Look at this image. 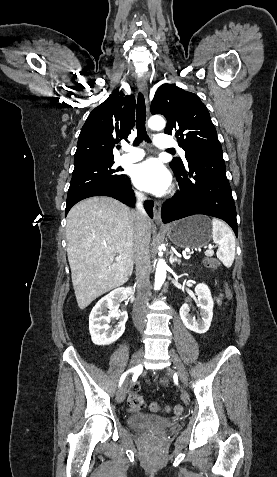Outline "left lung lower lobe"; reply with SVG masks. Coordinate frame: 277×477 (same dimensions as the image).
I'll return each instance as SVG.
<instances>
[{
    "label": "left lung lower lobe",
    "mask_w": 277,
    "mask_h": 477,
    "mask_svg": "<svg viewBox=\"0 0 277 477\" xmlns=\"http://www.w3.org/2000/svg\"><path fill=\"white\" fill-rule=\"evenodd\" d=\"M188 168H172L179 182L176 195L163 204L164 223L194 214L227 222L238 236L236 208L226 177L222 150H204L186 158Z\"/></svg>",
    "instance_id": "0a47b994"
}]
</instances>
